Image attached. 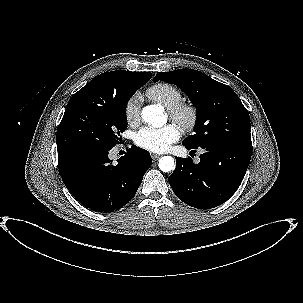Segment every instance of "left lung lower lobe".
<instances>
[{
	"mask_svg": "<svg viewBox=\"0 0 303 303\" xmlns=\"http://www.w3.org/2000/svg\"><path fill=\"white\" fill-rule=\"evenodd\" d=\"M188 150L197 149L184 145ZM200 162L176 158L169 184L186 204L211 209L227 201L239 188L251 159L249 140H217L201 145Z\"/></svg>",
	"mask_w": 303,
	"mask_h": 303,
	"instance_id": "0a47b994",
	"label": "left lung lower lobe"
}]
</instances>
